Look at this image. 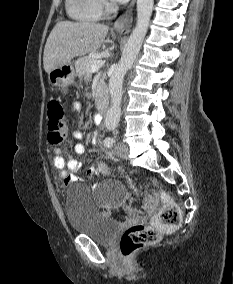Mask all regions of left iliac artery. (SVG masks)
<instances>
[{"mask_svg": "<svg viewBox=\"0 0 233 284\" xmlns=\"http://www.w3.org/2000/svg\"><path fill=\"white\" fill-rule=\"evenodd\" d=\"M115 143V139L114 138H110V137H108V138H106L105 140H104V145L106 146V147H111L113 144Z\"/></svg>", "mask_w": 233, "mask_h": 284, "instance_id": "1", "label": "left iliac artery"}]
</instances>
